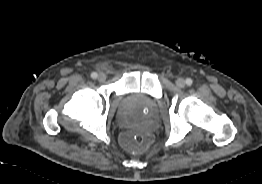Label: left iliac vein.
I'll return each instance as SVG.
<instances>
[{
  "mask_svg": "<svg viewBox=\"0 0 262 184\" xmlns=\"http://www.w3.org/2000/svg\"><path fill=\"white\" fill-rule=\"evenodd\" d=\"M176 85L180 88H183L185 86V80L183 78H178L176 80Z\"/></svg>",
  "mask_w": 262,
  "mask_h": 184,
  "instance_id": "1",
  "label": "left iliac vein"
}]
</instances>
